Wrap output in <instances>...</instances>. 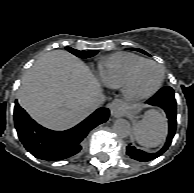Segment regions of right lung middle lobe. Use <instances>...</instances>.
<instances>
[{
  "instance_id": "1",
  "label": "right lung middle lobe",
  "mask_w": 194,
  "mask_h": 193,
  "mask_svg": "<svg viewBox=\"0 0 194 193\" xmlns=\"http://www.w3.org/2000/svg\"><path fill=\"white\" fill-rule=\"evenodd\" d=\"M66 49L69 52H71L72 54H74L80 58H88V57L94 56L98 52V51H78V50L70 48V47H66Z\"/></svg>"
}]
</instances>
